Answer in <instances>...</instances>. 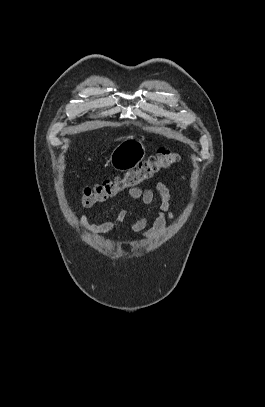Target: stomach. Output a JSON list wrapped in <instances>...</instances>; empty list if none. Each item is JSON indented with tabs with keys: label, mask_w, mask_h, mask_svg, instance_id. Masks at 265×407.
<instances>
[{
	"label": "stomach",
	"mask_w": 265,
	"mask_h": 407,
	"mask_svg": "<svg viewBox=\"0 0 265 407\" xmlns=\"http://www.w3.org/2000/svg\"><path fill=\"white\" fill-rule=\"evenodd\" d=\"M145 157V147L140 140H128L119 144L110 156L111 166L118 171H127L139 165Z\"/></svg>",
	"instance_id": "1"
}]
</instances>
